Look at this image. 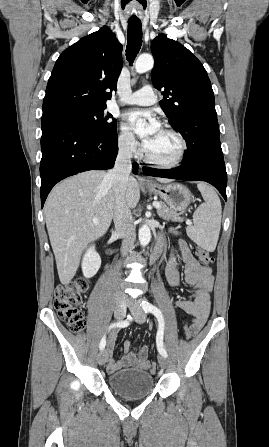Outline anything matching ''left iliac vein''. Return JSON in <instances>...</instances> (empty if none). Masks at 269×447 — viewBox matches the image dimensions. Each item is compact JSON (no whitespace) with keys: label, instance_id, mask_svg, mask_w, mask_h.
<instances>
[{"label":"left iliac vein","instance_id":"left-iliac-vein-1","mask_svg":"<svg viewBox=\"0 0 269 447\" xmlns=\"http://www.w3.org/2000/svg\"><path fill=\"white\" fill-rule=\"evenodd\" d=\"M129 308L137 323L142 324L145 322L146 312L140 306L136 305L135 303H130ZM158 362L161 368H166L168 365V359L162 355L158 357Z\"/></svg>","mask_w":269,"mask_h":447}]
</instances>
